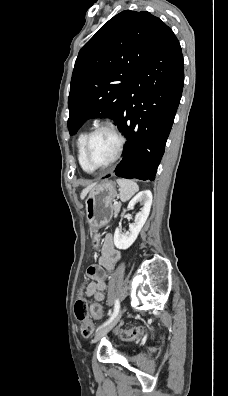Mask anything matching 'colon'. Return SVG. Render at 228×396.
<instances>
[{
    "mask_svg": "<svg viewBox=\"0 0 228 396\" xmlns=\"http://www.w3.org/2000/svg\"><path fill=\"white\" fill-rule=\"evenodd\" d=\"M98 241L95 238L94 244L97 245ZM76 318L81 322V332L84 336H90L93 332V323L90 319L91 316L99 318L102 315V307L99 304L88 305L85 298L80 293L79 298L74 305ZM146 333V330L140 327L124 331L122 336L126 340H134Z\"/></svg>",
    "mask_w": 228,
    "mask_h": 396,
    "instance_id": "obj_1",
    "label": "colon"
}]
</instances>
